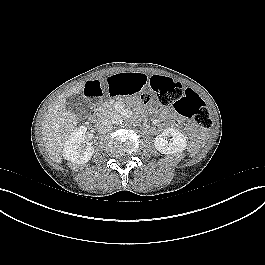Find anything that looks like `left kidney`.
<instances>
[{"instance_id":"obj_1","label":"left kidney","mask_w":265,"mask_h":265,"mask_svg":"<svg viewBox=\"0 0 265 265\" xmlns=\"http://www.w3.org/2000/svg\"><path fill=\"white\" fill-rule=\"evenodd\" d=\"M172 136V141L168 142L167 137ZM155 148L162 154H175L183 152L187 146L186 137L174 128H167L154 140Z\"/></svg>"}]
</instances>
